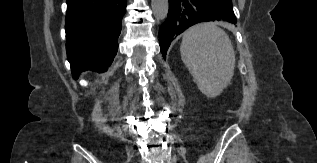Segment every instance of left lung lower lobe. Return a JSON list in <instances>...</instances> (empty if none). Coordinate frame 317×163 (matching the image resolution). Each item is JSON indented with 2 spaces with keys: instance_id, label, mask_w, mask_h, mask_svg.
Segmentation results:
<instances>
[{
  "instance_id": "obj_1",
  "label": "left lung lower lobe",
  "mask_w": 317,
  "mask_h": 163,
  "mask_svg": "<svg viewBox=\"0 0 317 163\" xmlns=\"http://www.w3.org/2000/svg\"><path fill=\"white\" fill-rule=\"evenodd\" d=\"M224 20L236 24L231 0H169V12L159 30L161 53L172 40L190 26L207 21Z\"/></svg>"
}]
</instances>
